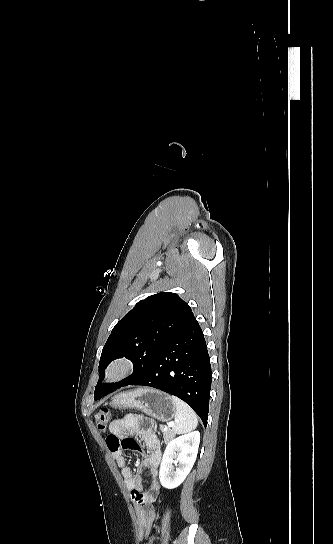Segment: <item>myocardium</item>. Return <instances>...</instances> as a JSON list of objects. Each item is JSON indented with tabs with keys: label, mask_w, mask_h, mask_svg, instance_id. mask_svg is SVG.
<instances>
[{
	"label": "myocardium",
	"mask_w": 333,
	"mask_h": 544,
	"mask_svg": "<svg viewBox=\"0 0 333 544\" xmlns=\"http://www.w3.org/2000/svg\"><path fill=\"white\" fill-rule=\"evenodd\" d=\"M134 369L135 363L131 358L118 357L107 364L104 377L109 383H118L129 377Z\"/></svg>",
	"instance_id": "myocardium-1"
}]
</instances>
